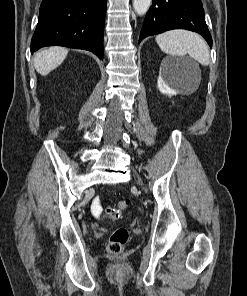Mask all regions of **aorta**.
<instances>
[{"instance_id":"obj_1","label":"aorta","mask_w":247,"mask_h":296,"mask_svg":"<svg viewBox=\"0 0 247 296\" xmlns=\"http://www.w3.org/2000/svg\"><path fill=\"white\" fill-rule=\"evenodd\" d=\"M152 0H133V8L138 15H144L150 5Z\"/></svg>"}]
</instances>
